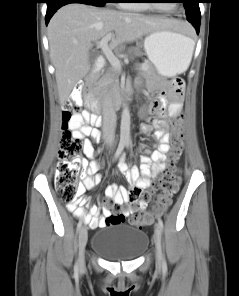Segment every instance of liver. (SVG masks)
Returning <instances> with one entry per match:
<instances>
[{
    "instance_id": "1",
    "label": "liver",
    "mask_w": 239,
    "mask_h": 296,
    "mask_svg": "<svg viewBox=\"0 0 239 296\" xmlns=\"http://www.w3.org/2000/svg\"><path fill=\"white\" fill-rule=\"evenodd\" d=\"M185 29L183 22L96 6L71 3L61 7L48 25L50 57L59 99L64 102L78 81L90 71L92 42L114 31L110 47L133 42L160 29Z\"/></svg>"
}]
</instances>
